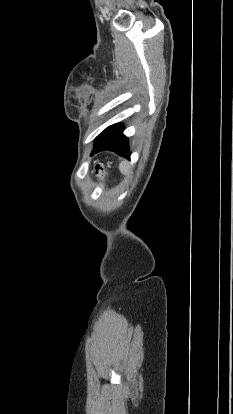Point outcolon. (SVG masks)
Listing matches in <instances>:
<instances>
[{
	"mask_svg": "<svg viewBox=\"0 0 233 414\" xmlns=\"http://www.w3.org/2000/svg\"><path fill=\"white\" fill-rule=\"evenodd\" d=\"M103 171V167L101 166V165H97L96 167H95V173L97 174V173H100V172H102Z\"/></svg>",
	"mask_w": 233,
	"mask_h": 414,
	"instance_id": "1",
	"label": "colon"
}]
</instances>
